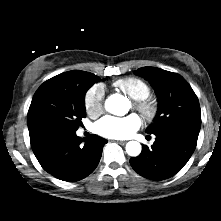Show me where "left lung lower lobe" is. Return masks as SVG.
Instances as JSON below:
<instances>
[{
  "label": "left lung lower lobe",
  "instance_id": "1",
  "mask_svg": "<svg viewBox=\"0 0 221 221\" xmlns=\"http://www.w3.org/2000/svg\"><path fill=\"white\" fill-rule=\"evenodd\" d=\"M199 131L185 125L162 128L153 133L156 139L151 147L143 145L141 154L130 159L132 168L155 181L175 175L193 154Z\"/></svg>",
  "mask_w": 221,
  "mask_h": 221
}]
</instances>
